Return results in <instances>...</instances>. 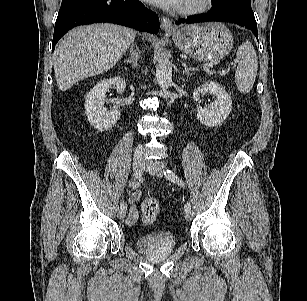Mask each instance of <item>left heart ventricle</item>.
Masks as SVG:
<instances>
[{
  "instance_id": "b2bd125f",
  "label": "left heart ventricle",
  "mask_w": 307,
  "mask_h": 301,
  "mask_svg": "<svg viewBox=\"0 0 307 301\" xmlns=\"http://www.w3.org/2000/svg\"><path fill=\"white\" fill-rule=\"evenodd\" d=\"M189 1H191V0H183L182 3H181V6H182V5H185V4L188 3Z\"/></svg>"
}]
</instances>
